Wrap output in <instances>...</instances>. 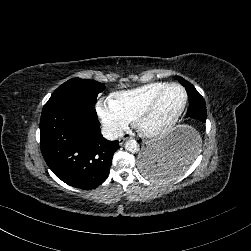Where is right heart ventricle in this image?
I'll return each mask as SVG.
<instances>
[{
    "instance_id": "e07e8e85",
    "label": "right heart ventricle",
    "mask_w": 251,
    "mask_h": 251,
    "mask_svg": "<svg viewBox=\"0 0 251 251\" xmlns=\"http://www.w3.org/2000/svg\"><path fill=\"white\" fill-rule=\"evenodd\" d=\"M166 84V82H151L121 92L117 95V101L129 114L137 117L141 110Z\"/></svg>"
}]
</instances>
